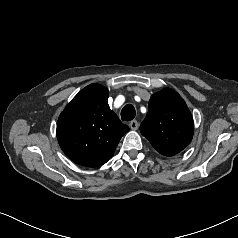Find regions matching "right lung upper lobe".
<instances>
[{"label": "right lung upper lobe", "mask_w": 238, "mask_h": 238, "mask_svg": "<svg viewBox=\"0 0 238 238\" xmlns=\"http://www.w3.org/2000/svg\"><path fill=\"white\" fill-rule=\"evenodd\" d=\"M108 89L99 84L83 88L60 114L57 138L63 152L87 167L103 165L129 131L108 105Z\"/></svg>", "instance_id": "obj_1"}]
</instances>
